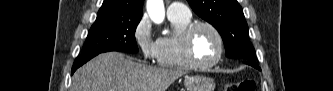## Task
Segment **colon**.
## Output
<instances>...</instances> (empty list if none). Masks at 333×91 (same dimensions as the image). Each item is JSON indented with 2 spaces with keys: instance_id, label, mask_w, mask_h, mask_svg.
Listing matches in <instances>:
<instances>
[{
  "instance_id": "1",
  "label": "colon",
  "mask_w": 333,
  "mask_h": 91,
  "mask_svg": "<svg viewBox=\"0 0 333 91\" xmlns=\"http://www.w3.org/2000/svg\"><path fill=\"white\" fill-rule=\"evenodd\" d=\"M255 83L253 80L244 79L227 86L226 91H253Z\"/></svg>"
}]
</instances>
